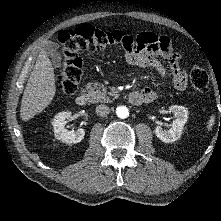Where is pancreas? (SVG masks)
<instances>
[{"mask_svg": "<svg viewBox=\"0 0 221 221\" xmlns=\"http://www.w3.org/2000/svg\"><path fill=\"white\" fill-rule=\"evenodd\" d=\"M86 89L88 91L90 102L92 103H108L110 102V96L116 97L115 92H107V88L104 85L99 84L98 82H89L86 85Z\"/></svg>", "mask_w": 221, "mask_h": 221, "instance_id": "cf45deb5", "label": "pancreas"}]
</instances>
